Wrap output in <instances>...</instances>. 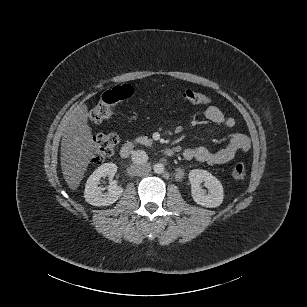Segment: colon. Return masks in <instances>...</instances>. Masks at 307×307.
I'll use <instances>...</instances> for the list:
<instances>
[{
	"label": "colon",
	"instance_id": "colon-1",
	"mask_svg": "<svg viewBox=\"0 0 307 307\" xmlns=\"http://www.w3.org/2000/svg\"><path fill=\"white\" fill-rule=\"evenodd\" d=\"M133 93V87L128 84L118 85L104 91L100 96L98 105L89 112V121L95 125L101 124L113 114L117 104L132 97ZM181 98L187 104H209L211 102V99L207 95L193 90L184 91ZM118 142L119 138L114 133L96 136L94 140L95 150L93 161L95 163H101L110 157ZM245 175V164L242 161H238L233 167L232 177L235 180H242Z\"/></svg>",
	"mask_w": 307,
	"mask_h": 307
}]
</instances>
